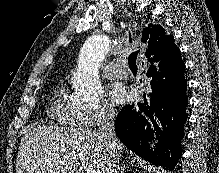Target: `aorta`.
<instances>
[{
    "mask_svg": "<svg viewBox=\"0 0 219 173\" xmlns=\"http://www.w3.org/2000/svg\"><path fill=\"white\" fill-rule=\"evenodd\" d=\"M109 51V39L106 35L90 36L83 44L76 73L72 84L81 101L98 100L102 95V85L98 77V68Z\"/></svg>",
    "mask_w": 219,
    "mask_h": 173,
    "instance_id": "1",
    "label": "aorta"
}]
</instances>
